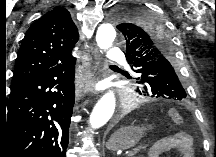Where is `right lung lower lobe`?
Returning a JSON list of instances; mask_svg holds the SVG:
<instances>
[{"label": "right lung lower lobe", "mask_w": 216, "mask_h": 157, "mask_svg": "<svg viewBox=\"0 0 216 157\" xmlns=\"http://www.w3.org/2000/svg\"><path fill=\"white\" fill-rule=\"evenodd\" d=\"M75 61L11 88L0 111V157H66ZM5 108V109H4Z\"/></svg>", "instance_id": "right-lung-lower-lobe-1"}]
</instances>
